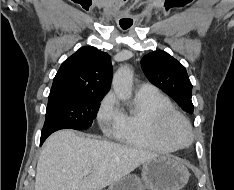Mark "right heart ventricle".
Returning a JSON list of instances; mask_svg holds the SVG:
<instances>
[{"label":"right heart ventricle","instance_id":"right-heart-ventricle-1","mask_svg":"<svg viewBox=\"0 0 234 190\" xmlns=\"http://www.w3.org/2000/svg\"><path fill=\"white\" fill-rule=\"evenodd\" d=\"M173 109L169 98L158 90L136 93L134 106L129 111H120V121L115 132L122 143L140 149L172 152L175 149L163 142L156 132L158 115Z\"/></svg>","mask_w":234,"mask_h":190}]
</instances>
